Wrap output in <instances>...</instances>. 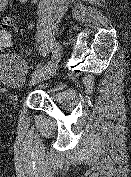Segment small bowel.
Instances as JSON below:
<instances>
[{"label": "small bowel", "mask_w": 131, "mask_h": 177, "mask_svg": "<svg viewBox=\"0 0 131 177\" xmlns=\"http://www.w3.org/2000/svg\"><path fill=\"white\" fill-rule=\"evenodd\" d=\"M21 4H26L28 0H18ZM9 0H0V12L8 5Z\"/></svg>", "instance_id": "obj_1"}]
</instances>
